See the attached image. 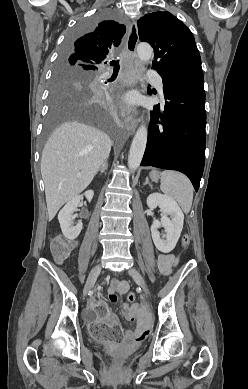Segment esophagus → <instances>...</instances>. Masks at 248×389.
I'll list each match as a JSON object with an SVG mask.
<instances>
[{"label":"esophagus","instance_id":"34e87169","mask_svg":"<svg viewBox=\"0 0 248 389\" xmlns=\"http://www.w3.org/2000/svg\"><path fill=\"white\" fill-rule=\"evenodd\" d=\"M138 30L135 20H132L128 25V35L126 42V52L131 57V64L135 70L141 71V63L137 58L136 46L138 43ZM138 78L134 77L132 85L137 83ZM125 128L128 134H133L137 128L138 120L132 116H126L124 119Z\"/></svg>","mask_w":248,"mask_h":389}]
</instances>
